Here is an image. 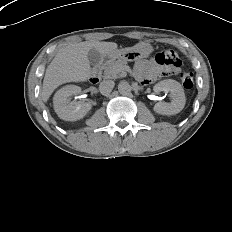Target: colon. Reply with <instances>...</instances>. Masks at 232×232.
Here are the masks:
<instances>
[{
  "mask_svg": "<svg viewBox=\"0 0 232 232\" xmlns=\"http://www.w3.org/2000/svg\"><path fill=\"white\" fill-rule=\"evenodd\" d=\"M157 65H162L164 67H173L180 69L182 66V61L177 52L174 50H162L155 55L154 58ZM182 85L186 89H191L194 86V78L190 72H182L180 75Z\"/></svg>",
  "mask_w": 232,
  "mask_h": 232,
  "instance_id": "obj_1",
  "label": "colon"
}]
</instances>
